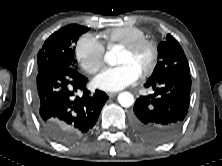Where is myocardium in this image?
I'll list each match as a JSON object with an SVG mask.
<instances>
[{"instance_id":"obj_1","label":"myocardium","mask_w":222,"mask_h":166,"mask_svg":"<svg viewBox=\"0 0 222 166\" xmlns=\"http://www.w3.org/2000/svg\"><path fill=\"white\" fill-rule=\"evenodd\" d=\"M143 49L149 50L150 61L148 65L141 71V75H148L155 69L157 65L158 48L156 44L151 40L143 39L124 46V50L131 54H135Z\"/></svg>"}]
</instances>
